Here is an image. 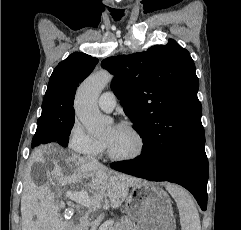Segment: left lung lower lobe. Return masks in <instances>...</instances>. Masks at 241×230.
Returning a JSON list of instances; mask_svg holds the SVG:
<instances>
[{"label":"left lung lower lobe","instance_id":"obj_1","mask_svg":"<svg viewBox=\"0 0 241 230\" xmlns=\"http://www.w3.org/2000/svg\"><path fill=\"white\" fill-rule=\"evenodd\" d=\"M111 168L150 181H169L189 190L203 211L207 207L208 159L204 143L169 148L147 141L134 160L111 163Z\"/></svg>","mask_w":241,"mask_h":230}]
</instances>
